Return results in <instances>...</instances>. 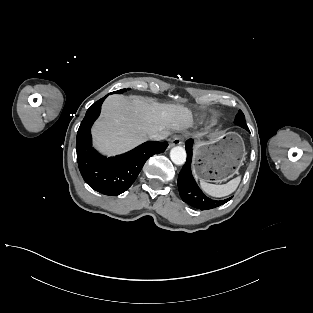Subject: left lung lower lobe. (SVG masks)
<instances>
[{"label": "left lung lower lobe", "instance_id": "left-lung-lower-lobe-1", "mask_svg": "<svg viewBox=\"0 0 313 313\" xmlns=\"http://www.w3.org/2000/svg\"><path fill=\"white\" fill-rule=\"evenodd\" d=\"M192 145L193 140H187L185 146L187 161L178 176V189L180 197L190 206L201 210H208L225 204L232 197L220 201L212 200L208 198L196 184L191 173Z\"/></svg>", "mask_w": 313, "mask_h": 313}]
</instances>
